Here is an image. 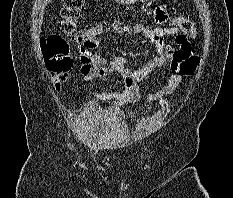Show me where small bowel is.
<instances>
[{
    "instance_id": "obj_1",
    "label": "small bowel",
    "mask_w": 233,
    "mask_h": 198,
    "mask_svg": "<svg viewBox=\"0 0 233 198\" xmlns=\"http://www.w3.org/2000/svg\"><path fill=\"white\" fill-rule=\"evenodd\" d=\"M157 27L150 28L142 24H135L132 26L124 25L120 21H114L111 29L119 34L127 35H140L144 41L150 43L154 49L152 58L145 63L142 67L131 69L128 66L127 59L122 55H117L108 60L99 54H91L92 48L81 47L80 57L83 63L81 73L85 80L90 81L97 78H103L113 72H117L122 77V90L117 92H98L92 91L95 99L100 101H111V110L120 107L127 103H136L140 100V95L136 84L153 75H165L172 71L167 83L155 93L147 96L150 101H159L163 97L171 94L180 84L182 75L176 70L175 56L177 53L190 52L189 44L182 32L178 27H162L168 20L167 12L163 7L156 9L154 14ZM174 36L176 42L179 44V49L174 47L166 41V37ZM95 101H90L88 106L94 107Z\"/></svg>"
}]
</instances>
